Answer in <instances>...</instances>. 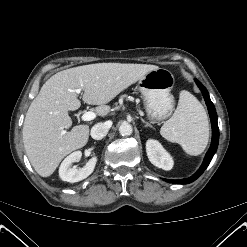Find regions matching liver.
I'll use <instances>...</instances> for the list:
<instances>
[{
  "instance_id": "obj_1",
  "label": "liver",
  "mask_w": 247,
  "mask_h": 247,
  "mask_svg": "<svg viewBox=\"0 0 247 247\" xmlns=\"http://www.w3.org/2000/svg\"><path fill=\"white\" fill-rule=\"evenodd\" d=\"M158 66L147 64L96 63L60 71L50 77L30 104L23 125V143L35 171L48 177L61 160L86 145L89 126L72 125L69 111L77 110L80 100L75 89H82V100L98 105L96 114L106 116V105L120 92Z\"/></svg>"
}]
</instances>
